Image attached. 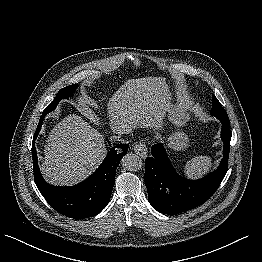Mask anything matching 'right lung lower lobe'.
<instances>
[{
    "mask_svg": "<svg viewBox=\"0 0 262 262\" xmlns=\"http://www.w3.org/2000/svg\"><path fill=\"white\" fill-rule=\"evenodd\" d=\"M46 114L42 113L32 142L35 183L49 205L60 214L74 219L93 217L100 213L109 202L116 168L127 153L128 144L112 147L100 167L81 183L71 187L50 185L40 173L35 148V139Z\"/></svg>",
    "mask_w": 262,
    "mask_h": 262,
    "instance_id": "98d812e1",
    "label": "right lung lower lobe"
}]
</instances>
